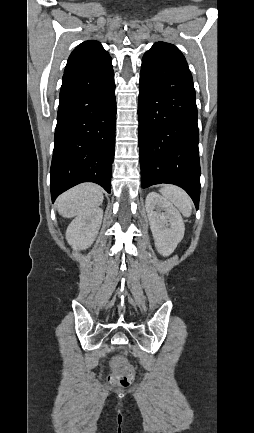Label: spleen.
I'll return each instance as SVG.
<instances>
[{
    "instance_id": "obj_1",
    "label": "spleen",
    "mask_w": 254,
    "mask_h": 433,
    "mask_svg": "<svg viewBox=\"0 0 254 433\" xmlns=\"http://www.w3.org/2000/svg\"><path fill=\"white\" fill-rule=\"evenodd\" d=\"M160 193L174 204L185 217L191 215L192 201L184 190L177 186L165 185L160 189Z\"/></svg>"
}]
</instances>
